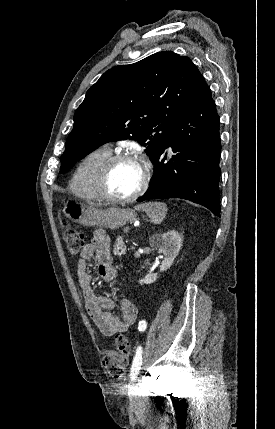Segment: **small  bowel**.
I'll return each mask as SVG.
<instances>
[{
  "label": "small bowel",
  "instance_id": "c3829d8e",
  "mask_svg": "<svg viewBox=\"0 0 275 429\" xmlns=\"http://www.w3.org/2000/svg\"><path fill=\"white\" fill-rule=\"evenodd\" d=\"M110 240L103 230H96L92 242L85 245L80 259L77 262V277L85 307L104 336H113L116 333L126 332L136 322L137 311L135 304L127 299L120 300V313L115 314L112 309L115 301L109 296H98L92 287L93 275L87 269V261L96 258L97 273L105 281L110 282L116 275L110 255Z\"/></svg>",
  "mask_w": 275,
  "mask_h": 429
}]
</instances>
